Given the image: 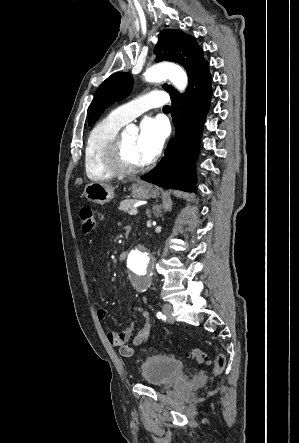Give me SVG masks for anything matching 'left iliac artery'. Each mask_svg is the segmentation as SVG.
I'll return each mask as SVG.
<instances>
[{
  "label": "left iliac artery",
  "mask_w": 299,
  "mask_h": 443,
  "mask_svg": "<svg viewBox=\"0 0 299 443\" xmlns=\"http://www.w3.org/2000/svg\"><path fill=\"white\" fill-rule=\"evenodd\" d=\"M156 316H157V318H164V315L161 313V312H158L157 314H156Z\"/></svg>",
  "instance_id": "1"
}]
</instances>
